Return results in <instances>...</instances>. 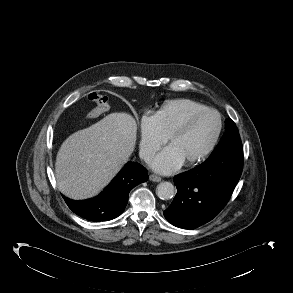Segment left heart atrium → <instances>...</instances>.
Masks as SVG:
<instances>
[{"label": "left heart atrium", "instance_id": "39dd6f15", "mask_svg": "<svg viewBox=\"0 0 293 293\" xmlns=\"http://www.w3.org/2000/svg\"><path fill=\"white\" fill-rule=\"evenodd\" d=\"M183 163L177 152L171 146H168L153 157L150 166L159 173L168 174L179 169Z\"/></svg>", "mask_w": 293, "mask_h": 293}]
</instances>
